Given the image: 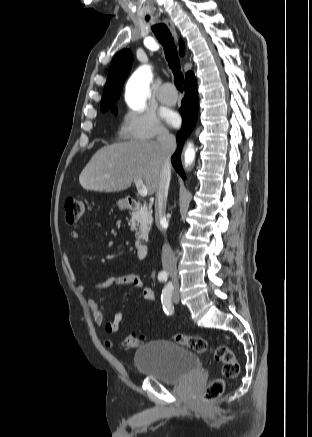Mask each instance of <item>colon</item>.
<instances>
[{
	"mask_svg": "<svg viewBox=\"0 0 312 437\" xmlns=\"http://www.w3.org/2000/svg\"><path fill=\"white\" fill-rule=\"evenodd\" d=\"M89 204L76 198H68L65 201V220L68 224H74L81 219ZM173 340L185 347H188L199 354H210L211 357L222 363V377L215 378L206 387L204 401H213L219 398L225 389V380L233 379L238 376L240 366L232 350L226 345H210L208 341L201 337L188 336L181 333L173 335ZM143 342L142 337L128 335L124 339V345L128 348H136Z\"/></svg>",
	"mask_w": 312,
	"mask_h": 437,
	"instance_id": "obj_1",
	"label": "colon"
}]
</instances>
